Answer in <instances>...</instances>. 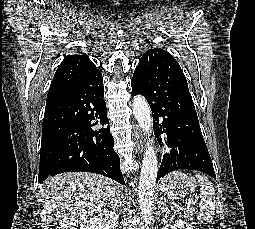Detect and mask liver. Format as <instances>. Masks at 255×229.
<instances>
[{
	"mask_svg": "<svg viewBox=\"0 0 255 229\" xmlns=\"http://www.w3.org/2000/svg\"><path fill=\"white\" fill-rule=\"evenodd\" d=\"M48 217L56 229H76L79 224L113 206L121 186L103 175L71 172L48 178L40 187Z\"/></svg>",
	"mask_w": 255,
	"mask_h": 229,
	"instance_id": "liver-1",
	"label": "liver"
}]
</instances>
